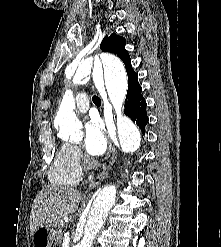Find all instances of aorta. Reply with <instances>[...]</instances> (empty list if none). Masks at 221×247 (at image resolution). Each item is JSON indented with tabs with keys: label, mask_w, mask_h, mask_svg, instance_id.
<instances>
[{
	"label": "aorta",
	"mask_w": 221,
	"mask_h": 247,
	"mask_svg": "<svg viewBox=\"0 0 221 247\" xmlns=\"http://www.w3.org/2000/svg\"><path fill=\"white\" fill-rule=\"evenodd\" d=\"M105 84L109 98L117 114V131L121 149L128 153L137 151L141 143V135L135 124L123 116L122 106L127 93V77L121 61L115 57L101 55ZM96 62V61H94ZM93 59H84L78 64H70L66 68L68 78L79 83L91 73ZM73 92L67 90L63 96L56 121L60 132L70 141H79L83 137L82 124L78 120ZM116 185L105 187L95 198L82 230V235L73 247H92L93 240L106 221L110 209L115 204Z\"/></svg>",
	"instance_id": "1"
}]
</instances>
